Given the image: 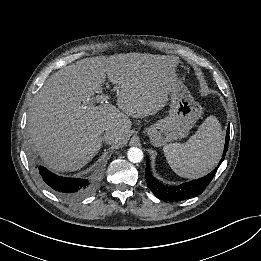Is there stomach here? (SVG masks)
<instances>
[{
	"instance_id": "0dacf381",
	"label": "stomach",
	"mask_w": 261,
	"mask_h": 261,
	"mask_svg": "<svg viewBox=\"0 0 261 261\" xmlns=\"http://www.w3.org/2000/svg\"><path fill=\"white\" fill-rule=\"evenodd\" d=\"M170 100L168 116L145 128V133L155 147L185 137L203 112L179 74L170 92Z\"/></svg>"
}]
</instances>
